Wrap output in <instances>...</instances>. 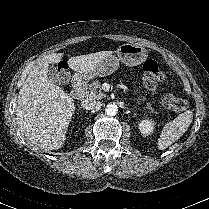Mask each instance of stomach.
Returning <instances> with one entry per match:
<instances>
[{
  "label": "stomach",
  "mask_w": 209,
  "mask_h": 209,
  "mask_svg": "<svg viewBox=\"0 0 209 209\" xmlns=\"http://www.w3.org/2000/svg\"><path fill=\"white\" fill-rule=\"evenodd\" d=\"M116 55H110L103 59L97 66L88 73L80 74V78L89 80L93 77L110 75L119 66V61L127 66H137L147 58V50L138 44L126 43L119 46Z\"/></svg>",
  "instance_id": "stomach-1"
}]
</instances>
